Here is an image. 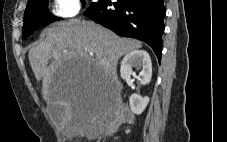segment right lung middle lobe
I'll return each mask as SVG.
<instances>
[{"label":"right lung middle lobe","mask_w":227,"mask_h":142,"mask_svg":"<svg viewBox=\"0 0 227 142\" xmlns=\"http://www.w3.org/2000/svg\"><path fill=\"white\" fill-rule=\"evenodd\" d=\"M49 0H31L28 2L24 13L22 39H25L41 26L58 20L48 10ZM96 3L90 4V6Z\"/></svg>","instance_id":"obj_1"}]
</instances>
